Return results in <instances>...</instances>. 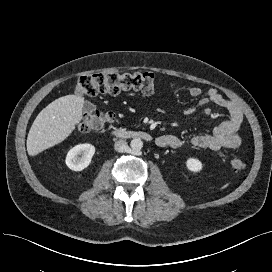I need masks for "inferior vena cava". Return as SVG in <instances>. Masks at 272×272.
I'll return each instance as SVG.
<instances>
[{
	"label": "inferior vena cava",
	"instance_id": "obj_1",
	"mask_svg": "<svg viewBox=\"0 0 272 272\" xmlns=\"http://www.w3.org/2000/svg\"><path fill=\"white\" fill-rule=\"evenodd\" d=\"M114 149L117 152H121V153L126 152L128 150V144L125 140H118L114 144Z\"/></svg>",
	"mask_w": 272,
	"mask_h": 272
}]
</instances>
